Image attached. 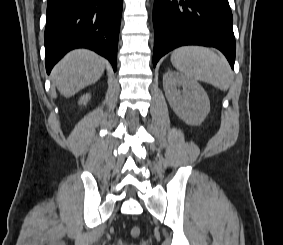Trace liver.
<instances>
[{
    "label": "liver",
    "mask_w": 283,
    "mask_h": 245,
    "mask_svg": "<svg viewBox=\"0 0 283 245\" xmlns=\"http://www.w3.org/2000/svg\"><path fill=\"white\" fill-rule=\"evenodd\" d=\"M106 60L96 53L79 49L67 54L53 69L51 79L66 98L95 83L103 75Z\"/></svg>",
    "instance_id": "obj_1"
}]
</instances>
